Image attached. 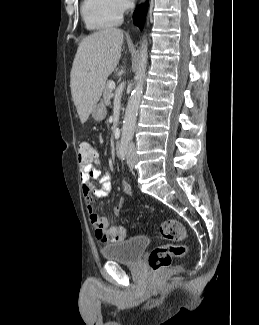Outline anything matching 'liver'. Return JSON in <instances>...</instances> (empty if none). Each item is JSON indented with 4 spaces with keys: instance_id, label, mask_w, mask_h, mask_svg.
Listing matches in <instances>:
<instances>
[{
    "instance_id": "obj_1",
    "label": "liver",
    "mask_w": 259,
    "mask_h": 325,
    "mask_svg": "<svg viewBox=\"0 0 259 325\" xmlns=\"http://www.w3.org/2000/svg\"><path fill=\"white\" fill-rule=\"evenodd\" d=\"M123 37L122 30L108 28L89 35L78 46L70 74V87L82 124L89 118L108 76L119 62Z\"/></svg>"
}]
</instances>
